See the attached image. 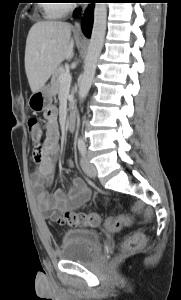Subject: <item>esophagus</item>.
Returning a JSON list of instances; mask_svg holds the SVG:
<instances>
[{
  "mask_svg": "<svg viewBox=\"0 0 181 300\" xmlns=\"http://www.w3.org/2000/svg\"><path fill=\"white\" fill-rule=\"evenodd\" d=\"M88 7V5H84V6H82V8H81V11H80V14H79V16H78V18L76 19V21H75V25H74V31L76 32V33H81V31H82V29H81V18H82V16H83V13H84V11H85V9Z\"/></svg>",
  "mask_w": 181,
  "mask_h": 300,
  "instance_id": "obj_1",
  "label": "esophagus"
}]
</instances>
